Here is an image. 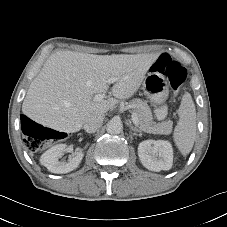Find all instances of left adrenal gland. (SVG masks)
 I'll return each mask as SVG.
<instances>
[{"label": "left adrenal gland", "mask_w": 227, "mask_h": 227, "mask_svg": "<svg viewBox=\"0 0 227 227\" xmlns=\"http://www.w3.org/2000/svg\"><path fill=\"white\" fill-rule=\"evenodd\" d=\"M129 125V128L131 131H135V132H138L139 135H141V130L138 129L137 127H134L132 124H128Z\"/></svg>", "instance_id": "1"}]
</instances>
